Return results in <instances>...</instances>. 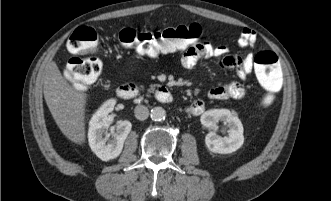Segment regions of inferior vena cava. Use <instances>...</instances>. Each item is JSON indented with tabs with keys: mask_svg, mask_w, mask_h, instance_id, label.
Here are the masks:
<instances>
[{
	"mask_svg": "<svg viewBox=\"0 0 331 201\" xmlns=\"http://www.w3.org/2000/svg\"><path fill=\"white\" fill-rule=\"evenodd\" d=\"M134 113H135V117L141 121L146 120L149 116L148 108L142 105L137 106L134 110Z\"/></svg>",
	"mask_w": 331,
	"mask_h": 201,
	"instance_id": "602c4592",
	"label": "inferior vena cava"
}]
</instances>
